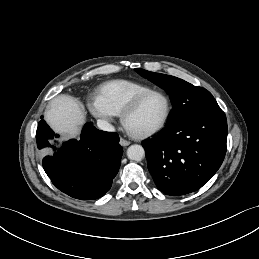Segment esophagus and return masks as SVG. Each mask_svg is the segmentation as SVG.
<instances>
[{
	"label": "esophagus",
	"mask_w": 259,
	"mask_h": 259,
	"mask_svg": "<svg viewBox=\"0 0 259 259\" xmlns=\"http://www.w3.org/2000/svg\"><path fill=\"white\" fill-rule=\"evenodd\" d=\"M120 144L122 146H128V145H130V142L125 140V139H123V138H120Z\"/></svg>",
	"instance_id": "esophagus-1"
}]
</instances>
